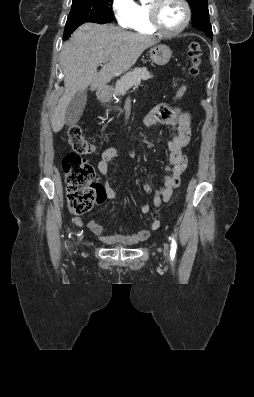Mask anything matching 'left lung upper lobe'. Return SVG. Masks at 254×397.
Returning a JSON list of instances; mask_svg holds the SVG:
<instances>
[{
    "instance_id": "5c2ea615",
    "label": "left lung upper lobe",
    "mask_w": 254,
    "mask_h": 397,
    "mask_svg": "<svg viewBox=\"0 0 254 397\" xmlns=\"http://www.w3.org/2000/svg\"><path fill=\"white\" fill-rule=\"evenodd\" d=\"M192 9V25L212 38L207 0H187Z\"/></svg>"
}]
</instances>
